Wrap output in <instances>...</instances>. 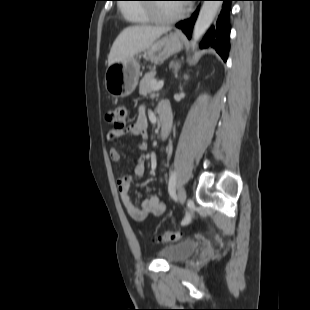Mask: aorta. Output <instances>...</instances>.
I'll use <instances>...</instances> for the list:
<instances>
[{"mask_svg": "<svg viewBox=\"0 0 310 310\" xmlns=\"http://www.w3.org/2000/svg\"><path fill=\"white\" fill-rule=\"evenodd\" d=\"M222 2L221 1H204L198 18L196 20L193 35L192 45L195 47L210 27L214 17L216 16Z\"/></svg>", "mask_w": 310, "mask_h": 310, "instance_id": "obj_1", "label": "aorta"}]
</instances>
